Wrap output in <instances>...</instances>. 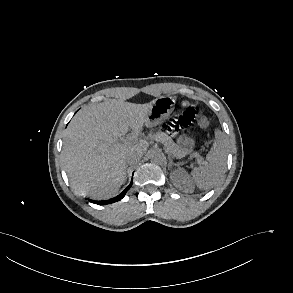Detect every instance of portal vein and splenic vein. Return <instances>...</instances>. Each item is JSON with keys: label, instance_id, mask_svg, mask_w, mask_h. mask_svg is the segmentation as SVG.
Wrapping results in <instances>:
<instances>
[{"label": "portal vein and splenic vein", "instance_id": "18ae733b", "mask_svg": "<svg viewBox=\"0 0 293 293\" xmlns=\"http://www.w3.org/2000/svg\"><path fill=\"white\" fill-rule=\"evenodd\" d=\"M136 138V136L135 137H133V136H128V137H126V139L124 140V141H133L134 139ZM200 162H202V160H200Z\"/></svg>", "mask_w": 293, "mask_h": 293}]
</instances>
